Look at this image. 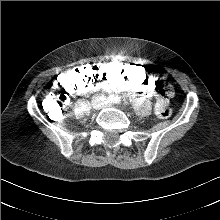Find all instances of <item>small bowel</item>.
<instances>
[{
    "label": "small bowel",
    "instance_id": "small-bowel-1",
    "mask_svg": "<svg viewBox=\"0 0 220 220\" xmlns=\"http://www.w3.org/2000/svg\"><path fill=\"white\" fill-rule=\"evenodd\" d=\"M101 86L103 88H105V90L107 91H121V90H126L129 94L133 93H150L153 91H156L157 89L153 90V91H148L146 89H140L132 84H128L124 81L120 82V83H114L110 80L108 81H104ZM158 99V97L156 98V100ZM156 111V110H155Z\"/></svg>",
    "mask_w": 220,
    "mask_h": 220
}]
</instances>
